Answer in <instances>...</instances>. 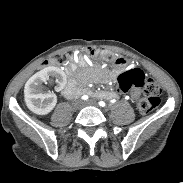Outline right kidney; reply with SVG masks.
<instances>
[{"instance_id": "1", "label": "right kidney", "mask_w": 183, "mask_h": 183, "mask_svg": "<svg viewBox=\"0 0 183 183\" xmlns=\"http://www.w3.org/2000/svg\"><path fill=\"white\" fill-rule=\"evenodd\" d=\"M55 80L58 89L66 84V74L57 67H46L34 74L25 84L24 96L26 106L37 115L50 113L56 103L57 97L52 92H43L41 84Z\"/></svg>"}]
</instances>
